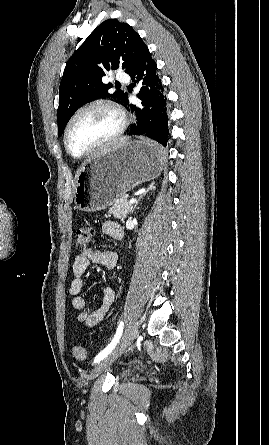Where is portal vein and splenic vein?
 <instances>
[{"mask_svg":"<svg viewBox=\"0 0 269 445\" xmlns=\"http://www.w3.org/2000/svg\"><path fill=\"white\" fill-rule=\"evenodd\" d=\"M130 204H134L135 202H136V199L135 198H132V199H130Z\"/></svg>","mask_w":269,"mask_h":445,"instance_id":"obj_1","label":"portal vein and splenic vein"}]
</instances>
